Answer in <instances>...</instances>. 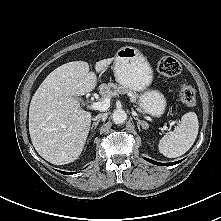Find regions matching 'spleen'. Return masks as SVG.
<instances>
[{
  "label": "spleen",
  "mask_w": 221,
  "mask_h": 221,
  "mask_svg": "<svg viewBox=\"0 0 221 221\" xmlns=\"http://www.w3.org/2000/svg\"><path fill=\"white\" fill-rule=\"evenodd\" d=\"M198 130L199 122L196 113L184 114L179 126L164 135L159 141L160 153L168 158H176L185 154L194 144Z\"/></svg>",
  "instance_id": "obj_1"
}]
</instances>
